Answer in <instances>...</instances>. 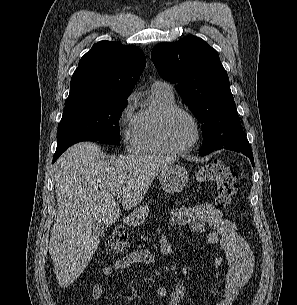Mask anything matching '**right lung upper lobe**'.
<instances>
[{"label": "right lung upper lobe", "instance_id": "1", "mask_svg": "<svg viewBox=\"0 0 297 305\" xmlns=\"http://www.w3.org/2000/svg\"><path fill=\"white\" fill-rule=\"evenodd\" d=\"M145 64V55L138 47L100 41L80 59L65 104L128 97Z\"/></svg>", "mask_w": 297, "mask_h": 305}]
</instances>
